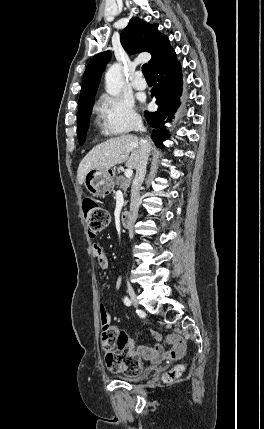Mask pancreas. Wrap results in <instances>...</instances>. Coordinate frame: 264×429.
I'll return each mask as SVG.
<instances>
[{
	"label": "pancreas",
	"mask_w": 264,
	"mask_h": 429,
	"mask_svg": "<svg viewBox=\"0 0 264 429\" xmlns=\"http://www.w3.org/2000/svg\"><path fill=\"white\" fill-rule=\"evenodd\" d=\"M130 183H131L130 178H125L122 175L116 177V185L124 192V194H126L127 189L130 186ZM126 204H127V202L125 201V205Z\"/></svg>",
	"instance_id": "1"
}]
</instances>
